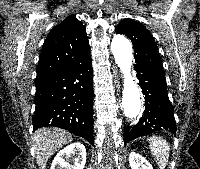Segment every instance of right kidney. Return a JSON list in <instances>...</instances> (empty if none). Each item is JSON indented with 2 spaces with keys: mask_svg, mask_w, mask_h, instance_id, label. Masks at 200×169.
Returning <instances> with one entry per match:
<instances>
[{
  "mask_svg": "<svg viewBox=\"0 0 200 169\" xmlns=\"http://www.w3.org/2000/svg\"><path fill=\"white\" fill-rule=\"evenodd\" d=\"M70 162H73V165ZM85 163V146L80 142H75L57 153L50 169H84Z\"/></svg>",
  "mask_w": 200,
  "mask_h": 169,
  "instance_id": "right-kidney-1",
  "label": "right kidney"
}]
</instances>
